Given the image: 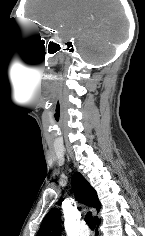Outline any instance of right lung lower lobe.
<instances>
[{
	"label": "right lung lower lobe",
	"mask_w": 145,
	"mask_h": 236,
	"mask_svg": "<svg viewBox=\"0 0 145 236\" xmlns=\"http://www.w3.org/2000/svg\"><path fill=\"white\" fill-rule=\"evenodd\" d=\"M95 223H96V225L98 226L99 225V223H100V220L97 218V219H95ZM96 235H97V232H96Z\"/></svg>",
	"instance_id": "98d812e1"
}]
</instances>
